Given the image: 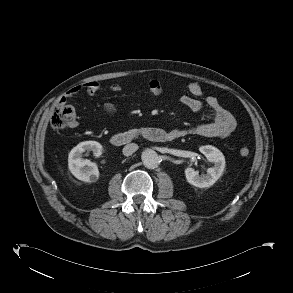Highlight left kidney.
Segmentation results:
<instances>
[{
	"label": "left kidney",
	"instance_id": "1",
	"mask_svg": "<svg viewBox=\"0 0 293 293\" xmlns=\"http://www.w3.org/2000/svg\"><path fill=\"white\" fill-rule=\"evenodd\" d=\"M199 151L205 155L208 161L213 162L214 166L208 168L207 174L203 176H200L197 171L188 167L185 169V176L188 183L195 187H211L223 174L225 158L219 149L211 145L201 146Z\"/></svg>",
	"mask_w": 293,
	"mask_h": 293
}]
</instances>
